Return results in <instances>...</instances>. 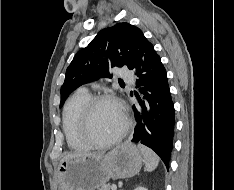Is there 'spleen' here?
Listing matches in <instances>:
<instances>
[{"label": "spleen", "mask_w": 234, "mask_h": 190, "mask_svg": "<svg viewBox=\"0 0 234 190\" xmlns=\"http://www.w3.org/2000/svg\"><path fill=\"white\" fill-rule=\"evenodd\" d=\"M138 148L144 157L146 171H154L158 166L159 157L150 148L142 144H138Z\"/></svg>", "instance_id": "3e777b00"}]
</instances>
